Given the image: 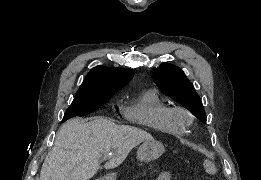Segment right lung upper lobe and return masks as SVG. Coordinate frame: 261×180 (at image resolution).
Instances as JSON below:
<instances>
[{
	"instance_id": "obj_1",
	"label": "right lung upper lobe",
	"mask_w": 261,
	"mask_h": 180,
	"mask_svg": "<svg viewBox=\"0 0 261 180\" xmlns=\"http://www.w3.org/2000/svg\"><path fill=\"white\" fill-rule=\"evenodd\" d=\"M134 76L130 69L97 66L88 73L76 94L113 95Z\"/></svg>"
}]
</instances>
